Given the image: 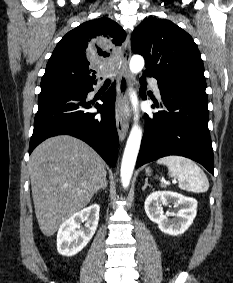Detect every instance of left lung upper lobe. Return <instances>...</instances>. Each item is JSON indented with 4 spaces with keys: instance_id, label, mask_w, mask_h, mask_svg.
Segmentation results:
<instances>
[{
    "instance_id": "1",
    "label": "left lung upper lobe",
    "mask_w": 233,
    "mask_h": 283,
    "mask_svg": "<svg viewBox=\"0 0 233 283\" xmlns=\"http://www.w3.org/2000/svg\"><path fill=\"white\" fill-rule=\"evenodd\" d=\"M131 48L145 58L144 73L159 82L206 87L204 65L192 37L169 20L147 18L132 33Z\"/></svg>"
}]
</instances>
